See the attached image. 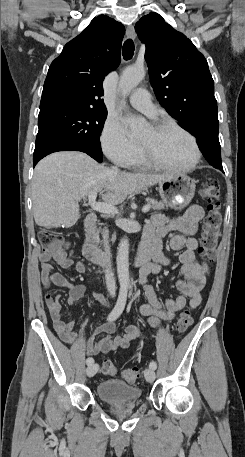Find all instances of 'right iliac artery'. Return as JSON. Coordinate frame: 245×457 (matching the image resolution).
Masks as SVG:
<instances>
[{
	"label": "right iliac artery",
	"instance_id": "right-iliac-artery-1",
	"mask_svg": "<svg viewBox=\"0 0 245 457\" xmlns=\"http://www.w3.org/2000/svg\"><path fill=\"white\" fill-rule=\"evenodd\" d=\"M126 299H127V288L122 287V288H120V292H119V296H118L116 305L107 318L108 321H113L120 316V314L124 310V307L126 304ZM86 363H87V365H90V364L94 363V359L92 357H88L86 359Z\"/></svg>",
	"mask_w": 245,
	"mask_h": 457
}]
</instances>
